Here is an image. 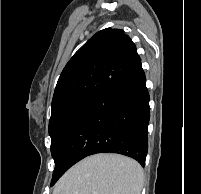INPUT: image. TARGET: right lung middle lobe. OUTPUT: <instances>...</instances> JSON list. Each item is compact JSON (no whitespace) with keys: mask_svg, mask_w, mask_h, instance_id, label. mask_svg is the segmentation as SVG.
Segmentation results:
<instances>
[{"mask_svg":"<svg viewBox=\"0 0 201 194\" xmlns=\"http://www.w3.org/2000/svg\"><path fill=\"white\" fill-rule=\"evenodd\" d=\"M98 95H86L69 99L52 108L51 118L49 121V135L52 139L51 153L54 156L60 138L69 123L89 106ZM56 168V166H55ZM55 169L53 177L55 175Z\"/></svg>","mask_w":201,"mask_h":194,"instance_id":"1","label":"right lung middle lobe"}]
</instances>
